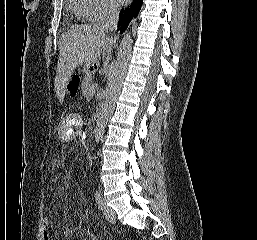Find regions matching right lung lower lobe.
I'll use <instances>...</instances> for the list:
<instances>
[{"mask_svg":"<svg viewBox=\"0 0 257 240\" xmlns=\"http://www.w3.org/2000/svg\"><path fill=\"white\" fill-rule=\"evenodd\" d=\"M141 5L142 0H134L133 4L129 8L121 9L118 23V27L120 28L121 33L125 31L130 21L138 15Z\"/></svg>","mask_w":257,"mask_h":240,"instance_id":"right-lung-lower-lobe-1","label":"right lung lower lobe"}]
</instances>
